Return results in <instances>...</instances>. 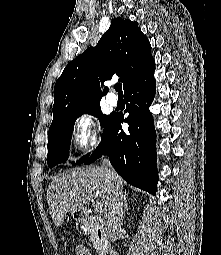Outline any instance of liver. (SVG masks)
Instances as JSON below:
<instances>
[{"label": "liver", "mask_w": 221, "mask_h": 255, "mask_svg": "<svg viewBox=\"0 0 221 255\" xmlns=\"http://www.w3.org/2000/svg\"><path fill=\"white\" fill-rule=\"evenodd\" d=\"M123 182L117 174L113 181L107 180L99 166L74 168L54 177L47 189V202L54 225L61 226L68 212L84 211L95 192L105 210L113 187L116 184L122 187Z\"/></svg>", "instance_id": "1"}]
</instances>
